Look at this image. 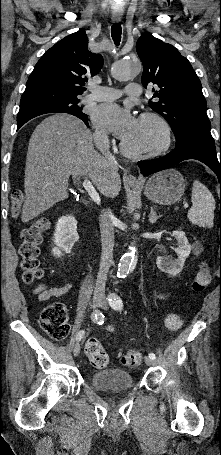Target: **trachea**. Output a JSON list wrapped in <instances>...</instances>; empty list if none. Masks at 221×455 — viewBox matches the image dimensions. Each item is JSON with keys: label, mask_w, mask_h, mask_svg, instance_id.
I'll return each instance as SVG.
<instances>
[{"label": "trachea", "mask_w": 221, "mask_h": 455, "mask_svg": "<svg viewBox=\"0 0 221 455\" xmlns=\"http://www.w3.org/2000/svg\"><path fill=\"white\" fill-rule=\"evenodd\" d=\"M122 28L120 24H113L111 27L112 39L116 46L120 44L121 41Z\"/></svg>", "instance_id": "obj_1"}]
</instances>
